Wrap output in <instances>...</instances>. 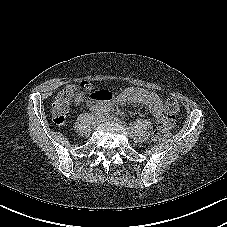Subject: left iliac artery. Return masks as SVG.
Listing matches in <instances>:
<instances>
[{"label":"left iliac artery","mask_w":227,"mask_h":227,"mask_svg":"<svg viewBox=\"0 0 227 227\" xmlns=\"http://www.w3.org/2000/svg\"><path fill=\"white\" fill-rule=\"evenodd\" d=\"M129 129L132 130V133H133L134 135H137V134H138L137 128H134L133 126H131V124L129 125Z\"/></svg>","instance_id":"44dca946"}]
</instances>
